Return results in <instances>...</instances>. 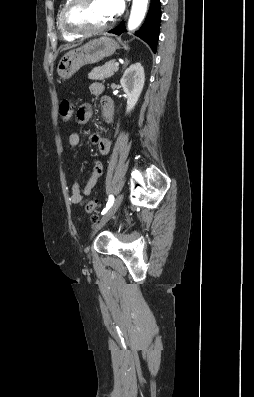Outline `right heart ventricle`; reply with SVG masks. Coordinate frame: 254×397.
<instances>
[{"label": "right heart ventricle", "instance_id": "right-heart-ventricle-1", "mask_svg": "<svg viewBox=\"0 0 254 397\" xmlns=\"http://www.w3.org/2000/svg\"><path fill=\"white\" fill-rule=\"evenodd\" d=\"M68 2H69V0H65V2H64V4H63V7H62V9H61V11H60V13H59V16H58V28H59V31H60V33H61V36L63 37L64 40H66V41H73V40L77 39L79 36H77V35H72V34L67 33V32L63 29V27H62V25H61V14H62V11H63L64 7L66 6V4H67Z\"/></svg>", "mask_w": 254, "mask_h": 397}]
</instances>
